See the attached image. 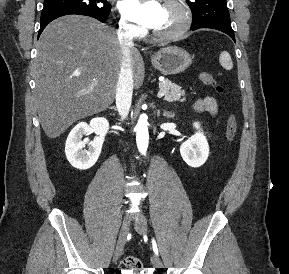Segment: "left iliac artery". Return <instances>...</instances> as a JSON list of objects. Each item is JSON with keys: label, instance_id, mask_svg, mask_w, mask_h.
Wrapping results in <instances>:
<instances>
[{"label": "left iliac artery", "instance_id": "left-iliac-artery-1", "mask_svg": "<svg viewBox=\"0 0 289 274\" xmlns=\"http://www.w3.org/2000/svg\"><path fill=\"white\" fill-rule=\"evenodd\" d=\"M152 246H153V250L155 254L158 255V248H157L156 241L154 239H152Z\"/></svg>", "mask_w": 289, "mask_h": 274}]
</instances>
